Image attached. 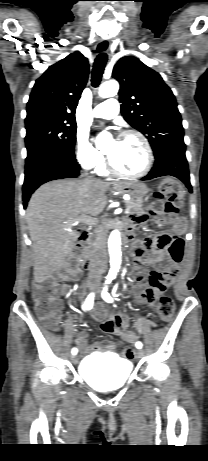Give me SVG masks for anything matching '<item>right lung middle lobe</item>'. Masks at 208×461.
<instances>
[{
  "instance_id": "obj_1",
  "label": "right lung middle lobe",
  "mask_w": 208,
  "mask_h": 461,
  "mask_svg": "<svg viewBox=\"0 0 208 461\" xmlns=\"http://www.w3.org/2000/svg\"><path fill=\"white\" fill-rule=\"evenodd\" d=\"M26 160L46 150H57L74 155L77 124L65 117H35L25 119Z\"/></svg>"
}]
</instances>
